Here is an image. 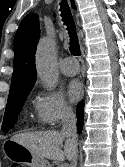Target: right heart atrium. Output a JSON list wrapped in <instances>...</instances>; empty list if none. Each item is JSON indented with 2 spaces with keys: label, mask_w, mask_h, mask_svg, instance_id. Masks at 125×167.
<instances>
[{
  "label": "right heart atrium",
  "mask_w": 125,
  "mask_h": 167,
  "mask_svg": "<svg viewBox=\"0 0 125 167\" xmlns=\"http://www.w3.org/2000/svg\"><path fill=\"white\" fill-rule=\"evenodd\" d=\"M33 113L42 127H55L73 114L71 106L62 95L49 90H38L34 95Z\"/></svg>",
  "instance_id": "d8ad5b80"
}]
</instances>
